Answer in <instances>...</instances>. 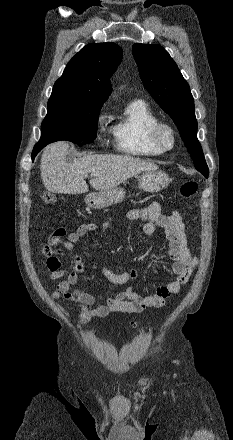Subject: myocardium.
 <instances>
[{
  "label": "myocardium",
  "mask_w": 233,
  "mask_h": 440,
  "mask_svg": "<svg viewBox=\"0 0 233 440\" xmlns=\"http://www.w3.org/2000/svg\"><path fill=\"white\" fill-rule=\"evenodd\" d=\"M166 134L169 136V143L164 141V135ZM148 140L154 147L162 152H166L174 148L176 133L169 123L158 121L148 129Z\"/></svg>",
  "instance_id": "obj_1"
}]
</instances>
